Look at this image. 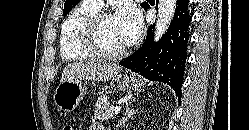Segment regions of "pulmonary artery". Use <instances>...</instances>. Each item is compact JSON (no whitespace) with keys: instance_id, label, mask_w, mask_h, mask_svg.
<instances>
[{"instance_id":"e3ab8cb5","label":"pulmonary artery","mask_w":249,"mask_h":130,"mask_svg":"<svg viewBox=\"0 0 249 130\" xmlns=\"http://www.w3.org/2000/svg\"><path fill=\"white\" fill-rule=\"evenodd\" d=\"M90 1L98 7H102L103 5V0H90Z\"/></svg>"}]
</instances>
